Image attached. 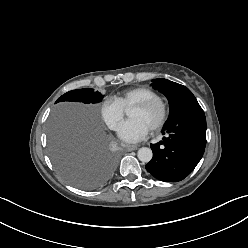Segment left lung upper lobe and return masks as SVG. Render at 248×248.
Here are the masks:
<instances>
[{
  "instance_id": "1",
  "label": "left lung upper lobe",
  "mask_w": 248,
  "mask_h": 248,
  "mask_svg": "<svg viewBox=\"0 0 248 248\" xmlns=\"http://www.w3.org/2000/svg\"><path fill=\"white\" fill-rule=\"evenodd\" d=\"M152 81V87L163 93L168 99L170 105L168 120L172 118L188 101L196 99L192 92L183 85L161 78Z\"/></svg>"
}]
</instances>
